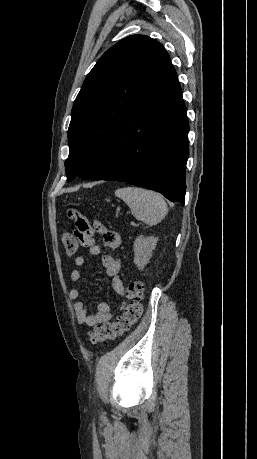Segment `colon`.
I'll return each instance as SVG.
<instances>
[{"label":"colon","mask_w":257,"mask_h":459,"mask_svg":"<svg viewBox=\"0 0 257 459\" xmlns=\"http://www.w3.org/2000/svg\"><path fill=\"white\" fill-rule=\"evenodd\" d=\"M62 243L68 256H73L78 250L77 241L74 236H69L68 232L62 235ZM128 303L124 312L111 323L99 325L90 333L89 341L92 344L105 343L115 340L125 333L138 322L143 313L144 286L139 281H132L126 288Z\"/></svg>","instance_id":"obj_1"}]
</instances>
